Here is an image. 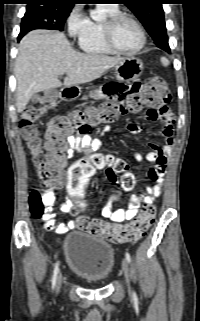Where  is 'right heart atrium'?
Segmentation results:
<instances>
[{"instance_id":"right-heart-atrium-1","label":"right heart atrium","mask_w":200,"mask_h":321,"mask_svg":"<svg viewBox=\"0 0 200 321\" xmlns=\"http://www.w3.org/2000/svg\"><path fill=\"white\" fill-rule=\"evenodd\" d=\"M88 22L89 19L85 16L81 7L74 6L66 18L68 33L72 37L79 36L87 28Z\"/></svg>"}]
</instances>
